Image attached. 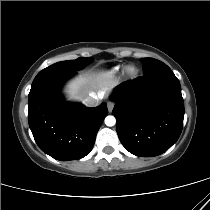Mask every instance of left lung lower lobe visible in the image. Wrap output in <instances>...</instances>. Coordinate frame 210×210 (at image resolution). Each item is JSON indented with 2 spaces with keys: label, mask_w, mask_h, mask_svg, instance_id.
I'll use <instances>...</instances> for the list:
<instances>
[{
  "label": "left lung lower lobe",
  "mask_w": 210,
  "mask_h": 210,
  "mask_svg": "<svg viewBox=\"0 0 210 210\" xmlns=\"http://www.w3.org/2000/svg\"><path fill=\"white\" fill-rule=\"evenodd\" d=\"M111 99L119 139L130 153L157 156L178 140L184 103L179 80L167 65L120 84Z\"/></svg>",
  "instance_id": "0a47b994"
}]
</instances>
